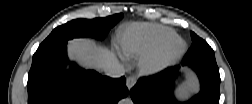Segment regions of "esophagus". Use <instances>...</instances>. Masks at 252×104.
Instances as JSON below:
<instances>
[{"mask_svg": "<svg viewBox=\"0 0 252 104\" xmlns=\"http://www.w3.org/2000/svg\"><path fill=\"white\" fill-rule=\"evenodd\" d=\"M136 81L135 76H129L126 80L127 88L130 90L136 84Z\"/></svg>", "mask_w": 252, "mask_h": 104, "instance_id": "obj_1", "label": "esophagus"}]
</instances>
